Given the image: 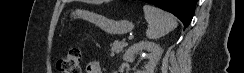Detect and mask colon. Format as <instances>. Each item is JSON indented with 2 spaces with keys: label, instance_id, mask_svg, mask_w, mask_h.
Returning a JSON list of instances; mask_svg holds the SVG:
<instances>
[{
  "label": "colon",
  "instance_id": "obj_1",
  "mask_svg": "<svg viewBox=\"0 0 244 73\" xmlns=\"http://www.w3.org/2000/svg\"><path fill=\"white\" fill-rule=\"evenodd\" d=\"M81 61V50L79 48H72L59 59L57 68L61 73H80Z\"/></svg>",
  "mask_w": 244,
  "mask_h": 73
}]
</instances>
